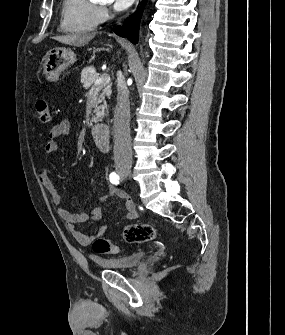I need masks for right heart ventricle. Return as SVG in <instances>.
<instances>
[{"instance_id": "e07e8e85", "label": "right heart ventricle", "mask_w": 285, "mask_h": 335, "mask_svg": "<svg viewBox=\"0 0 285 335\" xmlns=\"http://www.w3.org/2000/svg\"><path fill=\"white\" fill-rule=\"evenodd\" d=\"M97 5L96 1H73L67 2L65 4V10L70 8H76L82 10L84 13L75 17L65 16L63 21V26H72L77 31L90 32L95 29L97 22L92 15L95 7Z\"/></svg>"}]
</instances>
